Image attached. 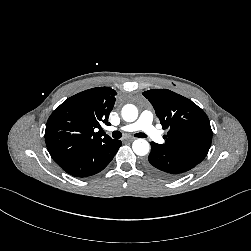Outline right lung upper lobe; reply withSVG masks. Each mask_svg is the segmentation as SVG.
<instances>
[{
    "instance_id": "1",
    "label": "right lung upper lobe",
    "mask_w": 251,
    "mask_h": 251,
    "mask_svg": "<svg viewBox=\"0 0 251 251\" xmlns=\"http://www.w3.org/2000/svg\"><path fill=\"white\" fill-rule=\"evenodd\" d=\"M116 91L96 87L65 100L49 117L45 141L53 160L65 165L89 149L112 141L98 131L110 125L108 117L115 103Z\"/></svg>"
}]
</instances>
